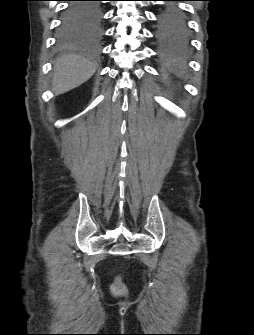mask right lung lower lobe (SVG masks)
I'll return each mask as SVG.
<instances>
[{"label": "right lung lower lobe", "instance_id": "1", "mask_svg": "<svg viewBox=\"0 0 254 335\" xmlns=\"http://www.w3.org/2000/svg\"><path fill=\"white\" fill-rule=\"evenodd\" d=\"M89 2L94 0H83L71 2L62 19V26H69L77 21L72 15H78L80 27L83 30L92 29L100 20V12L88 6Z\"/></svg>", "mask_w": 254, "mask_h": 335}]
</instances>
